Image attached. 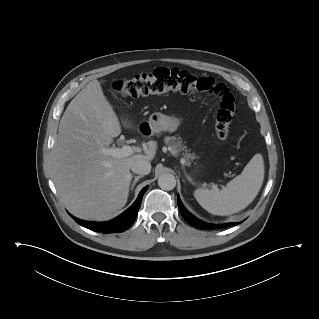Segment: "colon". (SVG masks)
<instances>
[{"label": "colon", "instance_id": "1", "mask_svg": "<svg viewBox=\"0 0 319 319\" xmlns=\"http://www.w3.org/2000/svg\"><path fill=\"white\" fill-rule=\"evenodd\" d=\"M113 89L121 97H140L177 91L184 94L206 93L220 100L216 114L215 130L220 139L229 135L230 124L236 113L233 94L212 77H199L177 68H157L152 72L136 75L129 80L114 82Z\"/></svg>", "mask_w": 319, "mask_h": 319}]
</instances>
